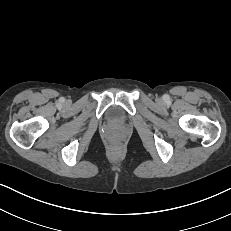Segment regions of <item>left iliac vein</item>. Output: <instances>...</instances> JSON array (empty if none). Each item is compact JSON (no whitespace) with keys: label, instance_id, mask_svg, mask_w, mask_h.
I'll return each instance as SVG.
<instances>
[{"label":"left iliac vein","instance_id":"4c4485c4","mask_svg":"<svg viewBox=\"0 0 231 231\" xmlns=\"http://www.w3.org/2000/svg\"><path fill=\"white\" fill-rule=\"evenodd\" d=\"M157 101H158V102H161V101H162V99H158Z\"/></svg>","mask_w":231,"mask_h":231}]
</instances>
